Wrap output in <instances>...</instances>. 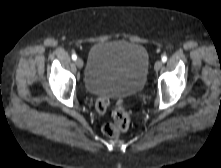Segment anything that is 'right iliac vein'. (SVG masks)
I'll list each match as a JSON object with an SVG mask.
<instances>
[{"label": "right iliac vein", "instance_id": "right-iliac-vein-1", "mask_svg": "<svg viewBox=\"0 0 221 168\" xmlns=\"http://www.w3.org/2000/svg\"><path fill=\"white\" fill-rule=\"evenodd\" d=\"M75 63H76V66L78 67V68H82L83 67V60L82 59H80V58H78L76 61H75Z\"/></svg>", "mask_w": 221, "mask_h": 168}]
</instances>
